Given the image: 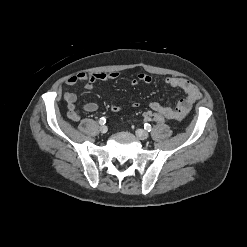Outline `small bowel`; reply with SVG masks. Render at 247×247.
<instances>
[{"instance_id": "c3829d8e", "label": "small bowel", "mask_w": 247, "mask_h": 247, "mask_svg": "<svg viewBox=\"0 0 247 247\" xmlns=\"http://www.w3.org/2000/svg\"><path fill=\"white\" fill-rule=\"evenodd\" d=\"M120 77L118 72L110 73H78L69 77L65 81V91L63 94L64 101L67 105V117L73 121L80 120V112L76 108L77 96L74 92L69 89L76 86L77 84H83L85 88L92 89L98 81H108L117 79ZM153 82V78L146 74L140 73L130 81L132 86H138L141 83L150 84ZM165 83L173 88L182 90L185 93V97L181 99L175 107L163 105L159 102H152L150 108L152 111L163 114L167 119L171 120H182L190 112L192 105L201 97L199 89L189 80L179 77H167ZM133 108L139 106L138 102H133L130 105ZM98 109L96 102H88L82 106V110L85 112H94ZM110 109L113 112L122 110V107L116 104H111Z\"/></svg>"}]
</instances>
